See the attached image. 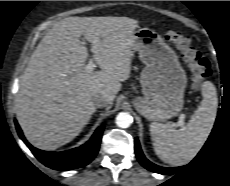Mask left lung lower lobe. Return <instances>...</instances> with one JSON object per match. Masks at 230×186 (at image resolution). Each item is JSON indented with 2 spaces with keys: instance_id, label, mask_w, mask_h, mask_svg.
<instances>
[{
  "instance_id": "obj_1",
  "label": "left lung lower lobe",
  "mask_w": 230,
  "mask_h": 186,
  "mask_svg": "<svg viewBox=\"0 0 230 186\" xmlns=\"http://www.w3.org/2000/svg\"><path fill=\"white\" fill-rule=\"evenodd\" d=\"M135 153L139 160V162L148 170L153 171L155 173L163 174V175H172L177 173L180 169H185L186 167H174V168H166L160 167L148 161L143 155L140 144L137 138H135Z\"/></svg>"
}]
</instances>
